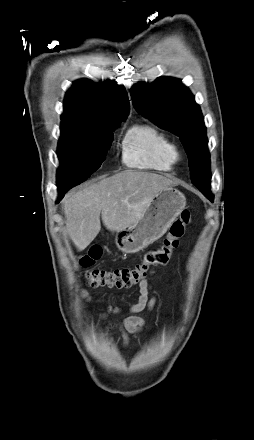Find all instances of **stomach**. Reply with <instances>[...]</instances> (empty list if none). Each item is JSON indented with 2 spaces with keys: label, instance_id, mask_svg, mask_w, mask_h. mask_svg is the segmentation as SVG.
<instances>
[{
  "label": "stomach",
  "instance_id": "0dacf381",
  "mask_svg": "<svg viewBox=\"0 0 254 440\" xmlns=\"http://www.w3.org/2000/svg\"><path fill=\"white\" fill-rule=\"evenodd\" d=\"M186 206V198L173 187L161 189L150 201L142 217L118 231L115 243L123 253H137L161 238Z\"/></svg>",
  "mask_w": 254,
  "mask_h": 440
}]
</instances>
